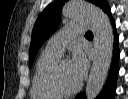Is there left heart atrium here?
Segmentation results:
<instances>
[{
    "instance_id": "left-heart-atrium-1",
    "label": "left heart atrium",
    "mask_w": 128,
    "mask_h": 99,
    "mask_svg": "<svg viewBox=\"0 0 128 99\" xmlns=\"http://www.w3.org/2000/svg\"><path fill=\"white\" fill-rule=\"evenodd\" d=\"M70 63L75 77L80 82L85 77L88 69V61L85 54L81 50L76 49Z\"/></svg>"
}]
</instances>
